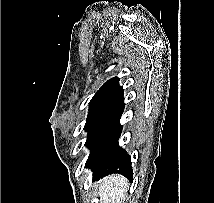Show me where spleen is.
<instances>
[{
  "label": "spleen",
  "instance_id": "3e777b00",
  "mask_svg": "<svg viewBox=\"0 0 214 203\" xmlns=\"http://www.w3.org/2000/svg\"><path fill=\"white\" fill-rule=\"evenodd\" d=\"M127 181L122 176H109L100 185L97 195L100 203H122L127 191Z\"/></svg>",
  "mask_w": 214,
  "mask_h": 203
}]
</instances>
